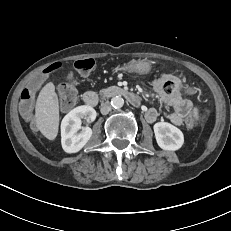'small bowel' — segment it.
Masks as SVG:
<instances>
[{
  "instance_id": "c3829d8e",
  "label": "small bowel",
  "mask_w": 231,
  "mask_h": 231,
  "mask_svg": "<svg viewBox=\"0 0 231 231\" xmlns=\"http://www.w3.org/2000/svg\"><path fill=\"white\" fill-rule=\"evenodd\" d=\"M179 80L177 77L165 74L157 78L154 82V90L159 95L160 100L171 108L168 120L180 126L192 111V103L183 94L178 93L174 82ZM180 81V80H179ZM145 118L148 122H155L158 118V111L151 107L145 110Z\"/></svg>"
}]
</instances>
